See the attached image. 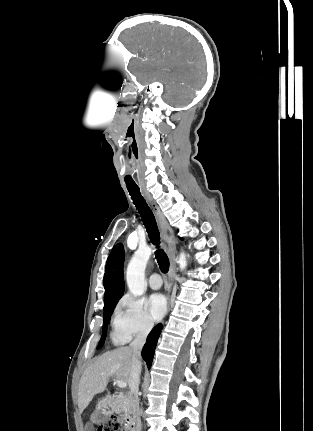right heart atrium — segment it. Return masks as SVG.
<instances>
[{
	"label": "right heart atrium",
	"mask_w": 313,
	"mask_h": 431,
	"mask_svg": "<svg viewBox=\"0 0 313 431\" xmlns=\"http://www.w3.org/2000/svg\"><path fill=\"white\" fill-rule=\"evenodd\" d=\"M114 332L127 340L133 336H145L154 323L143 302L132 295H124L115 311Z\"/></svg>",
	"instance_id": "d8ad5b80"
}]
</instances>
